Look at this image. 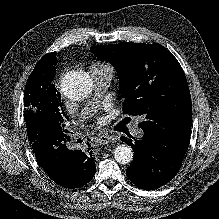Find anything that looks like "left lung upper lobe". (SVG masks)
<instances>
[{
  "instance_id": "5c2ea615",
  "label": "left lung upper lobe",
  "mask_w": 219,
  "mask_h": 219,
  "mask_svg": "<svg viewBox=\"0 0 219 219\" xmlns=\"http://www.w3.org/2000/svg\"><path fill=\"white\" fill-rule=\"evenodd\" d=\"M115 68L124 98L123 112L145 119L138 126L170 138L190 136L192 104L177 59L164 46L120 42L90 48Z\"/></svg>"
}]
</instances>
